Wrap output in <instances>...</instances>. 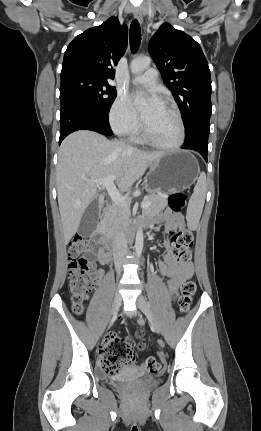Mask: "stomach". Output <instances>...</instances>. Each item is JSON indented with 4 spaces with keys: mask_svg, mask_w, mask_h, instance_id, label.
Wrapping results in <instances>:
<instances>
[{
    "mask_svg": "<svg viewBox=\"0 0 261 431\" xmlns=\"http://www.w3.org/2000/svg\"><path fill=\"white\" fill-rule=\"evenodd\" d=\"M149 167L145 180L148 192L182 191L198 179L200 171L195 157L186 151L164 153Z\"/></svg>",
    "mask_w": 261,
    "mask_h": 431,
    "instance_id": "stomach-1",
    "label": "stomach"
}]
</instances>
